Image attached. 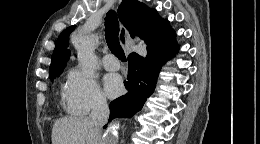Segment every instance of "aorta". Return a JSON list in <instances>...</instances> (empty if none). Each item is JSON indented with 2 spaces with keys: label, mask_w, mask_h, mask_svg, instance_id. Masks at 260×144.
I'll use <instances>...</instances> for the list:
<instances>
[{
  "label": "aorta",
  "mask_w": 260,
  "mask_h": 144,
  "mask_svg": "<svg viewBox=\"0 0 260 144\" xmlns=\"http://www.w3.org/2000/svg\"><path fill=\"white\" fill-rule=\"evenodd\" d=\"M96 44L97 38L93 34L80 33L74 39L79 65L86 76H92L96 70L97 59L94 54Z\"/></svg>",
  "instance_id": "aorta-1"
}]
</instances>
